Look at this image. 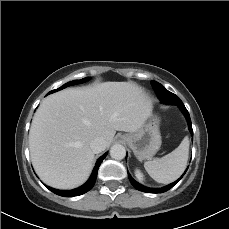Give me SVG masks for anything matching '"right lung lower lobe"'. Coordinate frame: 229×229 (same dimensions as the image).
<instances>
[{
    "instance_id": "right-lung-lower-lobe-1",
    "label": "right lung lower lobe",
    "mask_w": 229,
    "mask_h": 229,
    "mask_svg": "<svg viewBox=\"0 0 229 229\" xmlns=\"http://www.w3.org/2000/svg\"><path fill=\"white\" fill-rule=\"evenodd\" d=\"M106 155H107V152L98 159V161L96 162V165H95V167L93 169V172H92L90 178L81 187L76 188V189H73V190H69V191L57 190V189H54V188H51V187H48V186H46V187L50 191H52L53 193H55V194H57L59 196H63V197L79 196V195H82V194L88 192L89 190L92 189V187L95 184L99 166H100L101 162L103 161V159L106 157Z\"/></svg>"
}]
</instances>
